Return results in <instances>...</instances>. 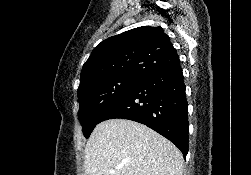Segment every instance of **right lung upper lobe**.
Here are the masks:
<instances>
[{
  "mask_svg": "<svg viewBox=\"0 0 251 175\" xmlns=\"http://www.w3.org/2000/svg\"><path fill=\"white\" fill-rule=\"evenodd\" d=\"M180 63L162 27L142 26L102 41L94 48L80 75V87L120 76L145 78Z\"/></svg>",
  "mask_w": 251,
  "mask_h": 175,
  "instance_id": "cb5924a9",
  "label": "right lung upper lobe"
}]
</instances>
